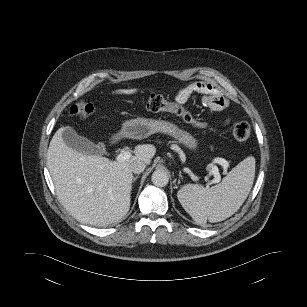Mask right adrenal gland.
Segmentation results:
<instances>
[{"label":"right adrenal gland","instance_id":"obj_1","mask_svg":"<svg viewBox=\"0 0 307 307\" xmlns=\"http://www.w3.org/2000/svg\"><path fill=\"white\" fill-rule=\"evenodd\" d=\"M138 178V176H136L133 180L135 181Z\"/></svg>","mask_w":307,"mask_h":307}]
</instances>
